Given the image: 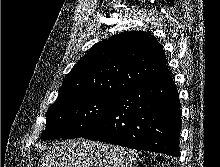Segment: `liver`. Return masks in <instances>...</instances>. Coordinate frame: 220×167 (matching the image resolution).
I'll use <instances>...</instances> for the list:
<instances>
[{
	"mask_svg": "<svg viewBox=\"0 0 220 167\" xmlns=\"http://www.w3.org/2000/svg\"><path fill=\"white\" fill-rule=\"evenodd\" d=\"M135 150L85 139L56 142L41 158L40 167H132Z\"/></svg>",
	"mask_w": 220,
	"mask_h": 167,
	"instance_id": "obj_1",
	"label": "liver"
}]
</instances>
